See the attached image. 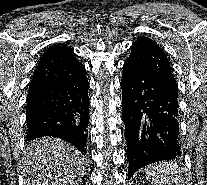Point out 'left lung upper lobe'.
<instances>
[{
	"instance_id": "left-lung-upper-lobe-1",
	"label": "left lung upper lobe",
	"mask_w": 207,
	"mask_h": 185,
	"mask_svg": "<svg viewBox=\"0 0 207 185\" xmlns=\"http://www.w3.org/2000/svg\"><path fill=\"white\" fill-rule=\"evenodd\" d=\"M130 49L131 53L125 64L131 70L157 77L173 90L178 91V84L172 75L169 60L156 42L146 37L138 38Z\"/></svg>"
}]
</instances>
